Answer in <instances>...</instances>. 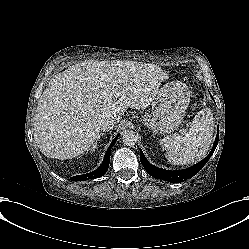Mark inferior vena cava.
<instances>
[{"label":"inferior vena cava","instance_id":"obj_1","mask_svg":"<svg viewBox=\"0 0 249 249\" xmlns=\"http://www.w3.org/2000/svg\"><path fill=\"white\" fill-rule=\"evenodd\" d=\"M117 119H115L114 117L112 118H107L105 120L102 121L101 123V130L103 131H109L110 129L113 128V126L117 123Z\"/></svg>","mask_w":249,"mask_h":249}]
</instances>
